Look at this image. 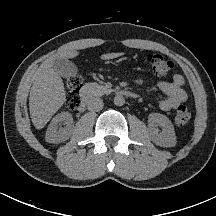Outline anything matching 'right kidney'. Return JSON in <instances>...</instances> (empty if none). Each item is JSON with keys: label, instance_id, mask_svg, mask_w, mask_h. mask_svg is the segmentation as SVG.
<instances>
[{"label": "right kidney", "instance_id": "1", "mask_svg": "<svg viewBox=\"0 0 216 216\" xmlns=\"http://www.w3.org/2000/svg\"><path fill=\"white\" fill-rule=\"evenodd\" d=\"M64 121L65 128L58 130L59 122ZM73 117L69 112L57 114L50 122L45 139L49 143H60L70 138L73 129Z\"/></svg>", "mask_w": 216, "mask_h": 216}]
</instances>
